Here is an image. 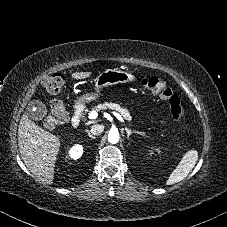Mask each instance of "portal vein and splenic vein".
<instances>
[{
  "instance_id": "portal-vein-and-splenic-vein-1",
  "label": "portal vein and splenic vein",
  "mask_w": 227,
  "mask_h": 227,
  "mask_svg": "<svg viewBox=\"0 0 227 227\" xmlns=\"http://www.w3.org/2000/svg\"><path fill=\"white\" fill-rule=\"evenodd\" d=\"M97 116H98V113H97L96 111H92V112L89 113L88 118H89L90 120H94V119L97 118ZM116 117H117L118 120H120L121 122H124V119H123L119 114H116Z\"/></svg>"
}]
</instances>
